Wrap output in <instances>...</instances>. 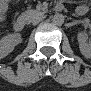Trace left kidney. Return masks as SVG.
<instances>
[{
	"label": "left kidney",
	"instance_id": "left-kidney-1",
	"mask_svg": "<svg viewBox=\"0 0 91 91\" xmlns=\"http://www.w3.org/2000/svg\"><path fill=\"white\" fill-rule=\"evenodd\" d=\"M79 42L80 52L86 57L89 58L91 55V47L90 44L87 43L86 35L80 32L77 36Z\"/></svg>",
	"mask_w": 91,
	"mask_h": 91
}]
</instances>
